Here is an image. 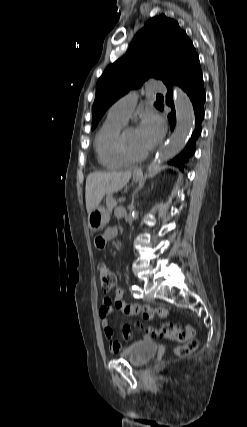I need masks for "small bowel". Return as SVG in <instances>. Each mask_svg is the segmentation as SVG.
<instances>
[{
  "instance_id": "obj_1",
  "label": "small bowel",
  "mask_w": 247,
  "mask_h": 427,
  "mask_svg": "<svg viewBox=\"0 0 247 427\" xmlns=\"http://www.w3.org/2000/svg\"><path fill=\"white\" fill-rule=\"evenodd\" d=\"M121 212L118 211L117 214ZM117 235V229L115 227L107 229L102 235L96 238V246L100 249L105 247L107 241L112 240ZM122 314L133 316L142 314L143 318L150 320L154 318L155 315H158L161 318H165L169 312L166 308L160 307L157 309H151L150 307L144 305H138L134 303H126L123 300V291L118 288L115 292V297L113 300L105 298L103 304L99 310V316L101 320L102 329L105 337L109 340V347L112 352H119L124 348V345L120 341L113 339V330L109 325V318L113 312V306ZM122 335L124 340L128 341L132 338V327L129 324H125L122 329ZM150 336L146 335L145 339H149Z\"/></svg>"
}]
</instances>
